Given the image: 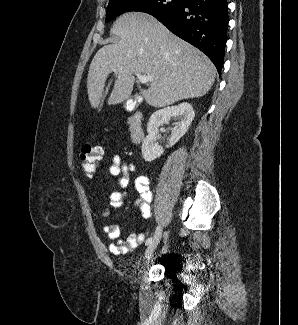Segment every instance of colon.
Instances as JSON below:
<instances>
[{
	"instance_id": "colon-1",
	"label": "colon",
	"mask_w": 298,
	"mask_h": 325,
	"mask_svg": "<svg viewBox=\"0 0 298 325\" xmlns=\"http://www.w3.org/2000/svg\"><path fill=\"white\" fill-rule=\"evenodd\" d=\"M103 149L99 145L84 144L79 152V166L83 173L91 177L102 158Z\"/></svg>"
}]
</instances>
